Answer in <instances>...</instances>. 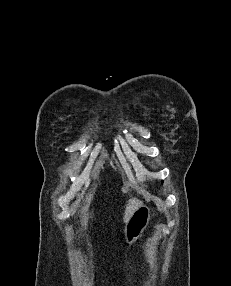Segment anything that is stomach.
I'll return each mask as SVG.
<instances>
[{"mask_svg":"<svg viewBox=\"0 0 231 286\" xmlns=\"http://www.w3.org/2000/svg\"><path fill=\"white\" fill-rule=\"evenodd\" d=\"M151 217L149 207L142 205L139 207L130 220L127 222L124 236L128 244L136 242L147 228Z\"/></svg>","mask_w":231,"mask_h":286,"instance_id":"obj_1","label":"stomach"}]
</instances>
